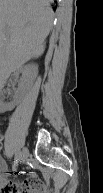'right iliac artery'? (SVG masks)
I'll return each instance as SVG.
<instances>
[{
	"mask_svg": "<svg viewBox=\"0 0 103 193\" xmlns=\"http://www.w3.org/2000/svg\"><path fill=\"white\" fill-rule=\"evenodd\" d=\"M20 158H21V153L20 151H18L15 155V159H14V165H17L18 162L20 161Z\"/></svg>",
	"mask_w": 103,
	"mask_h": 193,
	"instance_id": "82829eb1",
	"label": "right iliac artery"
}]
</instances>
